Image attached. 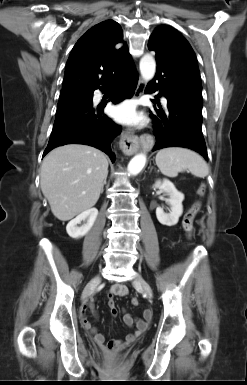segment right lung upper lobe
<instances>
[{"mask_svg": "<svg viewBox=\"0 0 247 385\" xmlns=\"http://www.w3.org/2000/svg\"><path fill=\"white\" fill-rule=\"evenodd\" d=\"M132 64L120 25L113 20L103 21L89 29L73 47L61 92L107 87Z\"/></svg>", "mask_w": 247, "mask_h": 385, "instance_id": "1", "label": "right lung upper lobe"}]
</instances>
